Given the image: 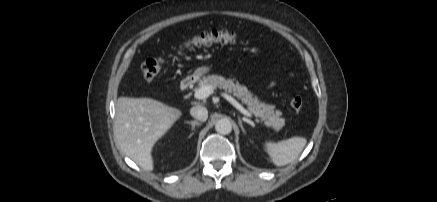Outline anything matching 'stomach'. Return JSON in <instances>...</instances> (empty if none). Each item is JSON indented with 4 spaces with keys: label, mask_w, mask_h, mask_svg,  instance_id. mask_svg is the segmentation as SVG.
Returning a JSON list of instances; mask_svg holds the SVG:
<instances>
[{
    "label": "stomach",
    "mask_w": 437,
    "mask_h": 202,
    "mask_svg": "<svg viewBox=\"0 0 437 202\" xmlns=\"http://www.w3.org/2000/svg\"><path fill=\"white\" fill-rule=\"evenodd\" d=\"M210 67L209 66H201L195 69L193 76L196 78H200L201 76L205 75L206 73H208L210 71Z\"/></svg>",
    "instance_id": "stomach-1"
}]
</instances>
